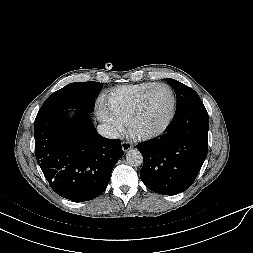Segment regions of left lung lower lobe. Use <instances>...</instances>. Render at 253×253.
<instances>
[{
	"mask_svg": "<svg viewBox=\"0 0 253 253\" xmlns=\"http://www.w3.org/2000/svg\"><path fill=\"white\" fill-rule=\"evenodd\" d=\"M209 119L203 103L179 110L165 132L137 145L144 157L140 178L147 188L164 195L188 189L208 151Z\"/></svg>",
	"mask_w": 253,
	"mask_h": 253,
	"instance_id": "left-lung-lower-lobe-1",
	"label": "left lung lower lobe"
}]
</instances>
